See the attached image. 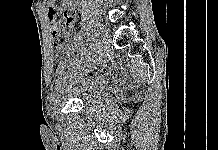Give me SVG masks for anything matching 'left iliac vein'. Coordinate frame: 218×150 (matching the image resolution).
I'll return each instance as SVG.
<instances>
[{"instance_id": "4c4485c4", "label": "left iliac vein", "mask_w": 218, "mask_h": 150, "mask_svg": "<svg viewBox=\"0 0 218 150\" xmlns=\"http://www.w3.org/2000/svg\"><path fill=\"white\" fill-rule=\"evenodd\" d=\"M98 33L100 35V38H99V42L100 44L102 45V47L100 48V50L98 51L99 54L97 55L98 58H97V64L99 65L102 61V58H101V53L106 49L105 47H107L108 45V35H107V31H106V28L103 24H99L98 25ZM95 68V65L94 64H91L90 65V68L87 70L88 72H84L83 74L86 76V75H90L91 72L93 71L92 69Z\"/></svg>"}]
</instances>
